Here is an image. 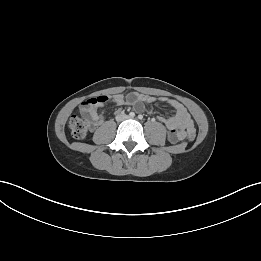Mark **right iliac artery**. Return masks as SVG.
Instances as JSON below:
<instances>
[{"label": "right iliac artery", "mask_w": 261, "mask_h": 261, "mask_svg": "<svg viewBox=\"0 0 261 261\" xmlns=\"http://www.w3.org/2000/svg\"><path fill=\"white\" fill-rule=\"evenodd\" d=\"M129 116H130V117H134V116H135V113H134V112H130V113H129Z\"/></svg>", "instance_id": "82829eb1"}]
</instances>
